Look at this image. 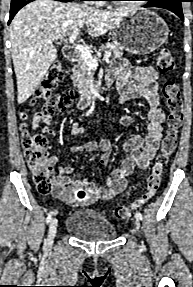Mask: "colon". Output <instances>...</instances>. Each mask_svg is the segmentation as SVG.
<instances>
[{"mask_svg": "<svg viewBox=\"0 0 193 287\" xmlns=\"http://www.w3.org/2000/svg\"><path fill=\"white\" fill-rule=\"evenodd\" d=\"M158 69L167 73L174 67L171 52L163 48L158 52L156 59ZM64 71L59 62H54L44 75L37 91L36 97L45 100L38 115L51 117L56 111H64L69 105L77 101L79 94L74 88L63 91L58 96L52 95V90L62 81ZM168 117L167 130L161 141L158 155L154 161L151 172L148 175L146 189L134 202L129 205L117 206L114 214L119 219L129 217L132 212L147 201H149L159 189L162 173L168 163L170 156L176 149L179 129L183 122V102L179 86L173 81H166L162 86ZM27 116L26 112L23 117ZM22 147L31 172L32 181L38 192L49 193L53 186L54 171L47 155V139L41 134H30L25 132L22 137ZM87 193L83 190L77 191L75 198L82 201Z\"/></svg>", "mask_w": 193, "mask_h": 287, "instance_id": "colon-1", "label": "colon"}]
</instances>
